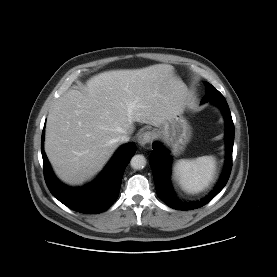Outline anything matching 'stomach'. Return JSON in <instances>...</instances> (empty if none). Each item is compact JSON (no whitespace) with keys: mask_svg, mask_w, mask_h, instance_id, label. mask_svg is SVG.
<instances>
[{"mask_svg":"<svg viewBox=\"0 0 277 277\" xmlns=\"http://www.w3.org/2000/svg\"><path fill=\"white\" fill-rule=\"evenodd\" d=\"M153 133L163 139L174 155L182 153L191 138V128L182 111L171 114L162 127Z\"/></svg>","mask_w":277,"mask_h":277,"instance_id":"obj_1","label":"stomach"}]
</instances>
